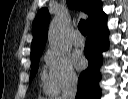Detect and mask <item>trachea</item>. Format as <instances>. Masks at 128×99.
Here are the masks:
<instances>
[{
	"label": "trachea",
	"mask_w": 128,
	"mask_h": 99,
	"mask_svg": "<svg viewBox=\"0 0 128 99\" xmlns=\"http://www.w3.org/2000/svg\"><path fill=\"white\" fill-rule=\"evenodd\" d=\"M78 29L82 33V35L85 36L87 34V28H86L85 20H83V19L80 20V22L78 24Z\"/></svg>",
	"instance_id": "1"
}]
</instances>
